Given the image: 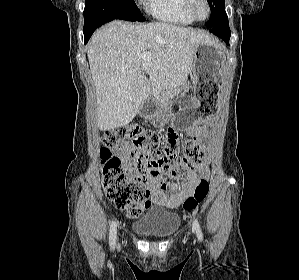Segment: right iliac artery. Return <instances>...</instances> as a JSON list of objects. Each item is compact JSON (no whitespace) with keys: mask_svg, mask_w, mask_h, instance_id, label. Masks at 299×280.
<instances>
[{"mask_svg":"<svg viewBox=\"0 0 299 280\" xmlns=\"http://www.w3.org/2000/svg\"><path fill=\"white\" fill-rule=\"evenodd\" d=\"M116 228H117V223L116 221H113L110 226V232H109V244L111 247H114L116 243Z\"/></svg>","mask_w":299,"mask_h":280,"instance_id":"1","label":"right iliac artery"}]
</instances>
